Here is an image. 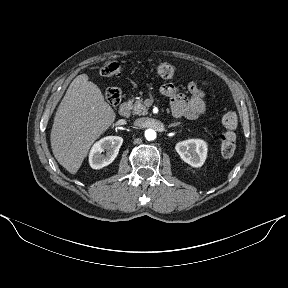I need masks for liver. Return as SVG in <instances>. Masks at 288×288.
<instances>
[{"label":"liver","instance_id":"liver-1","mask_svg":"<svg viewBox=\"0 0 288 288\" xmlns=\"http://www.w3.org/2000/svg\"><path fill=\"white\" fill-rule=\"evenodd\" d=\"M116 113L87 74L68 87L54 117L51 148L56 160L76 174L92 144L115 121Z\"/></svg>","mask_w":288,"mask_h":288}]
</instances>
